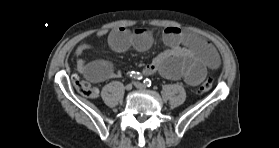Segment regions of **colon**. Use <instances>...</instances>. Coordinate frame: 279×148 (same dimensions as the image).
Returning <instances> with one entry per match:
<instances>
[{"label": "colon", "mask_w": 279, "mask_h": 148, "mask_svg": "<svg viewBox=\"0 0 279 148\" xmlns=\"http://www.w3.org/2000/svg\"><path fill=\"white\" fill-rule=\"evenodd\" d=\"M73 84L76 90L85 97L94 98L98 95L97 88H95L89 82L82 80L77 76L73 78ZM212 86H213L212 80L207 79L198 87L197 91L199 94H204L210 91Z\"/></svg>", "instance_id": "5ec220e1"}]
</instances>
